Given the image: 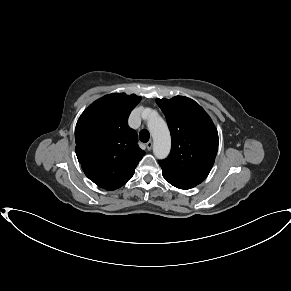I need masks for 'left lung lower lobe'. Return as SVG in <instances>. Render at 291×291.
Wrapping results in <instances>:
<instances>
[{"instance_id":"obj_1","label":"left lung lower lobe","mask_w":291,"mask_h":291,"mask_svg":"<svg viewBox=\"0 0 291 291\" xmlns=\"http://www.w3.org/2000/svg\"><path fill=\"white\" fill-rule=\"evenodd\" d=\"M171 185H173V186H175V187H177V188H179V189H190V187H188V186H185V185H183V184H180V183H178V182H176V181H173V180H170V179H168V178H166V177H164Z\"/></svg>"}]
</instances>
